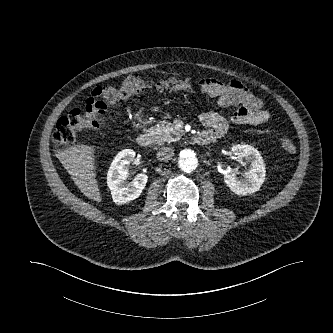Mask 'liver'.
<instances>
[{
    "mask_svg": "<svg viewBox=\"0 0 333 333\" xmlns=\"http://www.w3.org/2000/svg\"><path fill=\"white\" fill-rule=\"evenodd\" d=\"M94 152L92 146L81 144L66 148L60 153L59 160L81 192L89 199L101 202L102 197L95 179Z\"/></svg>",
    "mask_w": 333,
    "mask_h": 333,
    "instance_id": "obj_1",
    "label": "liver"
}]
</instances>
